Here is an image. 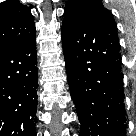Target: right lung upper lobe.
<instances>
[{"instance_id": "cb5924a9", "label": "right lung upper lobe", "mask_w": 136, "mask_h": 136, "mask_svg": "<svg viewBox=\"0 0 136 136\" xmlns=\"http://www.w3.org/2000/svg\"><path fill=\"white\" fill-rule=\"evenodd\" d=\"M35 34L29 8L17 0L0 4V48L22 43Z\"/></svg>"}]
</instances>
